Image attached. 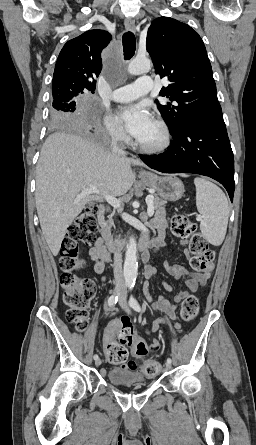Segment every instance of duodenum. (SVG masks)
Returning <instances> with one entry per match:
<instances>
[{"label": "duodenum", "instance_id": "duodenum-1", "mask_svg": "<svg viewBox=\"0 0 256 445\" xmlns=\"http://www.w3.org/2000/svg\"><path fill=\"white\" fill-rule=\"evenodd\" d=\"M104 216H105V208L103 206H99L98 219L101 227V235L108 250H110L111 252H117L123 249L124 247L129 246L130 242L127 239H115L110 235L104 224ZM152 245H153V240H151L147 235L141 236L139 240L135 243V247L141 251H145ZM147 260H148V254L144 253L143 261Z\"/></svg>", "mask_w": 256, "mask_h": 445}]
</instances>
